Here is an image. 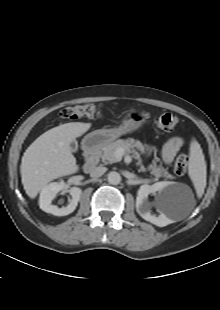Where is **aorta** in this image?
I'll use <instances>...</instances> for the list:
<instances>
[{
    "instance_id": "1",
    "label": "aorta",
    "mask_w": 220,
    "mask_h": 310,
    "mask_svg": "<svg viewBox=\"0 0 220 310\" xmlns=\"http://www.w3.org/2000/svg\"><path fill=\"white\" fill-rule=\"evenodd\" d=\"M108 182L112 185H118L120 182H121V176L118 172H115V171H111L109 174H108Z\"/></svg>"
}]
</instances>
